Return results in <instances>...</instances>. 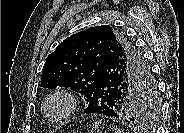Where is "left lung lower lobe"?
<instances>
[{"mask_svg": "<svg viewBox=\"0 0 184 133\" xmlns=\"http://www.w3.org/2000/svg\"><path fill=\"white\" fill-rule=\"evenodd\" d=\"M119 62V61H118ZM122 66L115 59L106 57L102 62L101 80L94 90L85 113H97L108 117L120 118L130 90L126 89V79ZM141 89L151 95V86L141 81Z\"/></svg>", "mask_w": 184, "mask_h": 133, "instance_id": "0a47b994", "label": "left lung lower lobe"}]
</instances>
